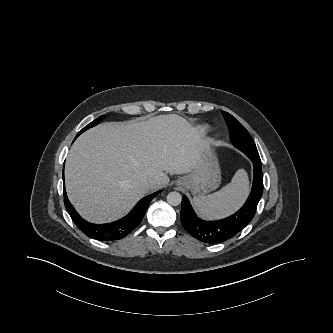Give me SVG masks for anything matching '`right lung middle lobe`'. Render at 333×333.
I'll use <instances>...</instances> for the list:
<instances>
[{"mask_svg": "<svg viewBox=\"0 0 333 333\" xmlns=\"http://www.w3.org/2000/svg\"><path fill=\"white\" fill-rule=\"evenodd\" d=\"M103 118H104V116H100L98 119L94 120L93 122H91L90 124H88L87 126H85V127H84V128H83V129L77 134V136H79L82 132L88 130L89 128H91V127H93V126L99 124V123L102 121Z\"/></svg>", "mask_w": 333, "mask_h": 333, "instance_id": "1", "label": "right lung middle lobe"}]
</instances>
